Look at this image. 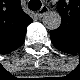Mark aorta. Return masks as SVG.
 <instances>
[{"mask_svg":"<svg viewBox=\"0 0 80 80\" xmlns=\"http://www.w3.org/2000/svg\"><path fill=\"white\" fill-rule=\"evenodd\" d=\"M48 19L54 20L55 28L59 27L60 21H61V17H60V15L58 13H50V14H48Z\"/></svg>","mask_w":80,"mask_h":80,"instance_id":"762f6f07","label":"aorta"}]
</instances>
